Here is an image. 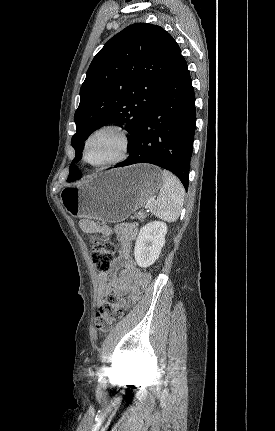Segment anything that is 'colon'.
I'll list each match as a JSON object with an SVG mask.
<instances>
[{
    "instance_id": "1",
    "label": "colon",
    "mask_w": 275,
    "mask_h": 431,
    "mask_svg": "<svg viewBox=\"0 0 275 431\" xmlns=\"http://www.w3.org/2000/svg\"><path fill=\"white\" fill-rule=\"evenodd\" d=\"M90 255L97 270L106 272L114 261V247L110 243L95 242L90 249ZM126 306V302L119 296L109 294L96 313V329L102 333L110 331L114 323L123 318Z\"/></svg>"
}]
</instances>
